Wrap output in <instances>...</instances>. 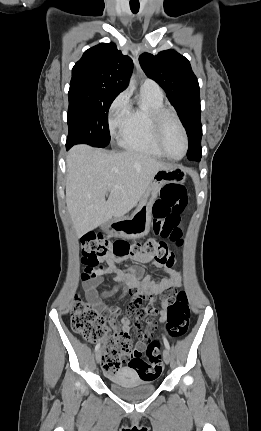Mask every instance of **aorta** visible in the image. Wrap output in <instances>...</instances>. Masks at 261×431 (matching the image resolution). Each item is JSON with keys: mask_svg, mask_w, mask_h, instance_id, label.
<instances>
[{"mask_svg": "<svg viewBox=\"0 0 261 431\" xmlns=\"http://www.w3.org/2000/svg\"><path fill=\"white\" fill-rule=\"evenodd\" d=\"M135 82V79H134V77L132 76L131 77V79H130V83H134Z\"/></svg>", "mask_w": 261, "mask_h": 431, "instance_id": "1", "label": "aorta"}]
</instances>
